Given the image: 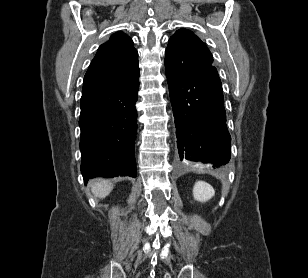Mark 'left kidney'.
I'll list each match as a JSON object with an SVG mask.
<instances>
[{
	"instance_id": "obj_1",
	"label": "left kidney",
	"mask_w": 308,
	"mask_h": 278,
	"mask_svg": "<svg viewBox=\"0 0 308 278\" xmlns=\"http://www.w3.org/2000/svg\"><path fill=\"white\" fill-rule=\"evenodd\" d=\"M215 195V191L211 185L204 181H198L193 188L194 199L200 202H206Z\"/></svg>"
}]
</instances>
